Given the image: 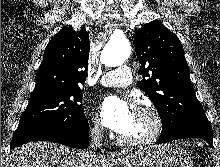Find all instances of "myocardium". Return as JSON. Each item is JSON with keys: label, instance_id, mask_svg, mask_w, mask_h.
I'll use <instances>...</instances> for the list:
<instances>
[{"label": "myocardium", "instance_id": "1", "mask_svg": "<svg viewBox=\"0 0 220 167\" xmlns=\"http://www.w3.org/2000/svg\"><path fill=\"white\" fill-rule=\"evenodd\" d=\"M137 111L142 114H147L152 120L151 130L144 136L138 139H129L122 135L119 136L118 141L126 146L140 147L149 145L155 142L161 135L164 127L163 119L159 111L151 106L144 105L137 108Z\"/></svg>", "mask_w": 220, "mask_h": 167}]
</instances>
